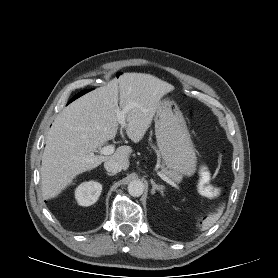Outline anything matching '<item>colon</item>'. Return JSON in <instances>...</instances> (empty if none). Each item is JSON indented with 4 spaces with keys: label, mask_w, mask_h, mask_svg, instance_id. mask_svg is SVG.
Returning a JSON list of instances; mask_svg holds the SVG:
<instances>
[{
    "label": "colon",
    "mask_w": 278,
    "mask_h": 278,
    "mask_svg": "<svg viewBox=\"0 0 278 278\" xmlns=\"http://www.w3.org/2000/svg\"><path fill=\"white\" fill-rule=\"evenodd\" d=\"M202 193L209 198H217L222 194V187L207 182V172L204 170L201 174Z\"/></svg>",
    "instance_id": "1"
}]
</instances>
